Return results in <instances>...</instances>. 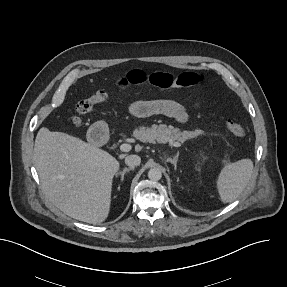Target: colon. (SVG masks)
Returning <instances> with one entry per match:
<instances>
[{"label": "colon", "instance_id": "5ec220e1", "mask_svg": "<svg viewBox=\"0 0 287 287\" xmlns=\"http://www.w3.org/2000/svg\"><path fill=\"white\" fill-rule=\"evenodd\" d=\"M202 81V78L193 72H182L178 74H170L164 72H155L147 74L142 70H133L126 74L117 83V92L120 95H125L132 87H139L145 84H151L158 88H191ZM111 94L107 91L100 90L92 96L83 99L76 105L78 117L75 118V123L80 124L81 116L92 113L97 106L106 105L110 102ZM226 129L232 135L244 137L246 134L245 127L238 120H228Z\"/></svg>", "mask_w": 287, "mask_h": 287}]
</instances>
